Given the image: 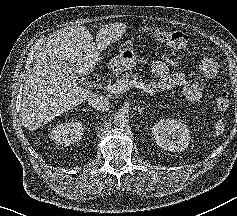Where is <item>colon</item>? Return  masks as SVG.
<instances>
[{
  "instance_id": "1",
  "label": "colon",
  "mask_w": 237,
  "mask_h": 216,
  "mask_svg": "<svg viewBox=\"0 0 237 216\" xmlns=\"http://www.w3.org/2000/svg\"><path fill=\"white\" fill-rule=\"evenodd\" d=\"M137 30L139 32L147 33L151 37L166 43L167 45L176 49H185L189 44L188 36L179 31L169 32L159 28H148L138 25ZM230 105L228 94L223 92L216 98V106L220 110H226Z\"/></svg>"
}]
</instances>
